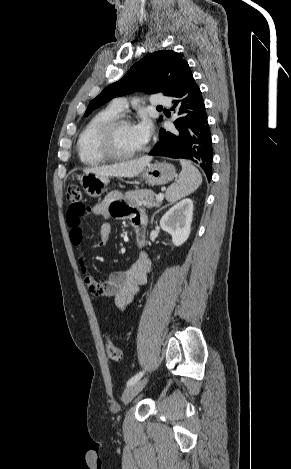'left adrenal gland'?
<instances>
[{"instance_id": "left-adrenal-gland-1", "label": "left adrenal gland", "mask_w": 291, "mask_h": 469, "mask_svg": "<svg viewBox=\"0 0 291 469\" xmlns=\"http://www.w3.org/2000/svg\"><path fill=\"white\" fill-rule=\"evenodd\" d=\"M167 206H168V205H164V206H162L161 208H159L156 212H154V214H153V216H152V218H151V222H153L154 216H155L158 212H160L162 209H164L165 207H167Z\"/></svg>"}]
</instances>
